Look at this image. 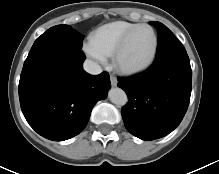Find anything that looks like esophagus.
<instances>
[{
    "label": "esophagus",
    "instance_id": "34e87169",
    "mask_svg": "<svg viewBox=\"0 0 219 174\" xmlns=\"http://www.w3.org/2000/svg\"><path fill=\"white\" fill-rule=\"evenodd\" d=\"M110 81H111L112 86H116L117 85V79H116L115 76L110 75Z\"/></svg>",
    "mask_w": 219,
    "mask_h": 174
}]
</instances>
